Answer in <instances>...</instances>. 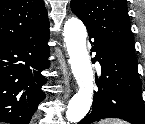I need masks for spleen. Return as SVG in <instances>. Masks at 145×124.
Instances as JSON below:
<instances>
[{
  "instance_id": "1",
  "label": "spleen",
  "mask_w": 145,
  "mask_h": 124,
  "mask_svg": "<svg viewBox=\"0 0 145 124\" xmlns=\"http://www.w3.org/2000/svg\"><path fill=\"white\" fill-rule=\"evenodd\" d=\"M100 124H127V123L124 121H121L119 119H109V120H106Z\"/></svg>"
}]
</instances>
